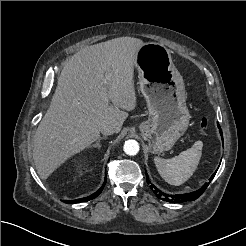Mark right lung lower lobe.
<instances>
[{
    "label": "right lung lower lobe",
    "instance_id": "1",
    "mask_svg": "<svg viewBox=\"0 0 246 246\" xmlns=\"http://www.w3.org/2000/svg\"><path fill=\"white\" fill-rule=\"evenodd\" d=\"M106 178H105V181H104V184L102 185V187L96 191L94 194L88 196V197H85V198H82V199H76V200H71V201H64L65 203H70V204H73V203H79V202H85V201H89L91 199H94L95 197H97L101 191L103 190L104 186H105V183H106Z\"/></svg>",
    "mask_w": 246,
    "mask_h": 246
}]
</instances>
